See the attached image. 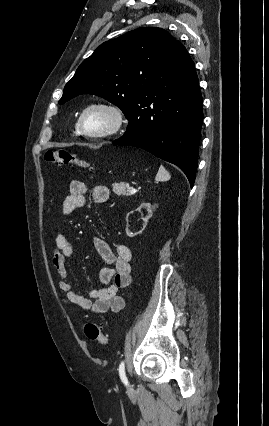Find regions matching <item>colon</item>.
Instances as JSON below:
<instances>
[{
  "label": "colon",
  "instance_id": "obj_1",
  "mask_svg": "<svg viewBox=\"0 0 269 426\" xmlns=\"http://www.w3.org/2000/svg\"><path fill=\"white\" fill-rule=\"evenodd\" d=\"M45 160L56 165H70L80 168H90L91 166L89 162L80 159L76 154L66 149L48 150L45 153ZM84 331L90 340L95 341L103 346L109 344V338L107 334L97 323L91 321L87 322L84 327Z\"/></svg>",
  "mask_w": 269,
  "mask_h": 426
}]
</instances>
